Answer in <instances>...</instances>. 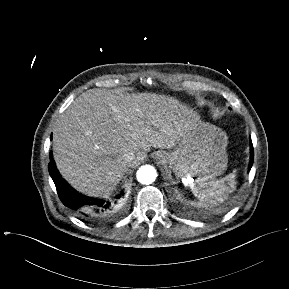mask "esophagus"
Returning a JSON list of instances; mask_svg holds the SVG:
<instances>
[{
	"label": "esophagus",
	"mask_w": 289,
	"mask_h": 289,
	"mask_svg": "<svg viewBox=\"0 0 289 289\" xmlns=\"http://www.w3.org/2000/svg\"><path fill=\"white\" fill-rule=\"evenodd\" d=\"M154 159H155L156 163H158V164H163V163H166V161H167L166 156L162 153H157L154 156Z\"/></svg>",
	"instance_id": "obj_1"
}]
</instances>
